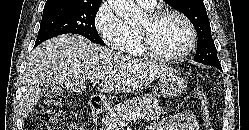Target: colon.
<instances>
[{"instance_id":"colon-1","label":"colon","mask_w":249,"mask_h":130,"mask_svg":"<svg viewBox=\"0 0 249 130\" xmlns=\"http://www.w3.org/2000/svg\"><path fill=\"white\" fill-rule=\"evenodd\" d=\"M200 111L206 130H213L210 101L206 90L202 86L195 88ZM64 98L62 96H54L46 100L42 106V115L40 121L41 130H56L58 124L64 119Z\"/></svg>"}]
</instances>
